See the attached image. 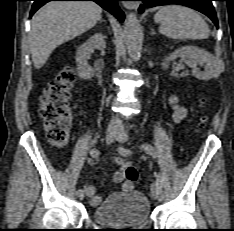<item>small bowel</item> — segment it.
Instances as JSON below:
<instances>
[{"instance_id":"obj_1","label":"small bowel","mask_w":234,"mask_h":231,"mask_svg":"<svg viewBox=\"0 0 234 231\" xmlns=\"http://www.w3.org/2000/svg\"><path fill=\"white\" fill-rule=\"evenodd\" d=\"M170 104L172 106V116L175 123H181L187 116V109L181 106L178 103V99L175 95L170 97ZM121 191L123 192H130L132 191L134 184L130 181H122L121 182ZM86 194L91 202L92 205H98L101 202V197L97 195L96 188L92 184H88L86 186Z\"/></svg>"}]
</instances>
